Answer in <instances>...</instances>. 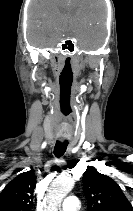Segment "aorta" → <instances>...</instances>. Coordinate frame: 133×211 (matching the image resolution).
Here are the masks:
<instances>
[{
    "label": "aorta",
    "mask_w": 133,
    "mask_h": 211,
    "mask_svg": "<svg viewBox=\"0 0 133 211\" xmlns=\"http://www.w3.org/2000/svg\"><path fill=\"white\" fill-rule=\"evenodd\" d=\"M74 181L69 177L55 179L45 196V211H58L63 198L73 189Z\"/></svg>",
    "instance_id": "1"
}]
</instances>
